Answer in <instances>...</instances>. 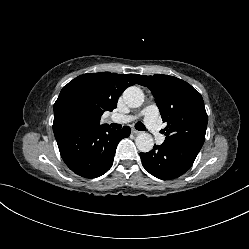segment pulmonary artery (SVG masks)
<instances>
[{
  "mask_svg": "<svg viewBox=\"0 0 249 249\" xmlns=\"http://www.w3.org/2000/svg\"><path fill=\"white\" fill-rule=\"evenodd\" d=\"M139 117L144 118V123L150 130L158 144L164 142V136L161 133V125L158 119V108L156 105H149L145 107L138 115H120L117 119L121 122L127 123L138 119Z\"/></svg>",
  "mask_w": 249,
  "mask_h": 249,
  "instance_id": "e3ab8cb5",
  "label": "pulmonary artery"
}]
</instances>
